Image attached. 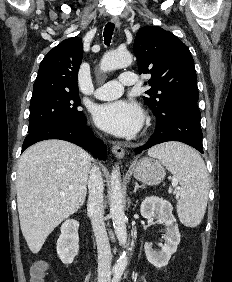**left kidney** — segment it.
<instances>
[{"instance_id":"1","label":"left kidney","mask_w":232,"mask_h":282,"mask_svg":"<svg viewBox=\"0 0 232 282\" xmlns=\"http://www.w3.org/2000/svg\"><path fill=\"white\" fill-rule=\"evenodd\" d=\"M172 211L171 203L157 196L146 197L141 203L140 212L144 218L157 217L166 226L165 243L161 251H155L149 243L144 245L147 260L157 268L168 264L171 255L176 252L180 243V233Z\"/></svg>"}]
</instances>
